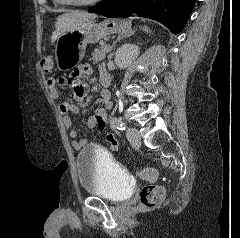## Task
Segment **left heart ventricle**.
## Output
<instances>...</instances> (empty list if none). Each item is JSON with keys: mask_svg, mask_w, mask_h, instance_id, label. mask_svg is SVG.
I'll list each match as a JSON object with an SVG mask.
<instances>
[{"mask_svg": "<svg viewBox=\"0 0 240 238\" xmlns=\"http://www.w3.org/2000/svg\"><path fill=\"white\" fill-rule=\"evenodd\" d=\"M72 1H79V2H82V1H87V0H72Z\"/></svg>", "mask_w": 240, "mask_h": 238, "instance_id": "obj_1", "label": "left heart ventricle"}]
</instances>
